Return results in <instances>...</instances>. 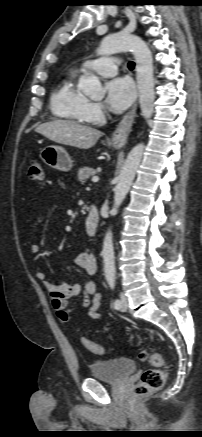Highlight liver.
I'll return each mask as SVG.
<instances>
[{"mask_svg": "<svg viewBox=\"0 0 202 437\" xmlns=\"http://www.w3.org/2000/svg\"><path fill=\"white\" fill-rule=\"evenodd\" d=\"M35 131L56 143L80 149L93 147L103 135L95 128L66 120H54L40 124Z\"/></svg>", "mask_w": 202, "mask_h": 437, "instance_id": "obj_1", "label": "liver"}]
</instances>
